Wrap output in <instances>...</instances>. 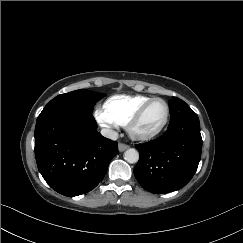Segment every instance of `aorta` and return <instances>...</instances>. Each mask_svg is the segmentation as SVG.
<instances>
[{"label":"aorta","mask_w":243,"mask_h":243,"mask_svg":"<svg viewBox=\"0 0 243 243\" xmlns=\"http://www.w3.org/2000/svg\"><path fill=\"white\" fill-rule=\"evenodd\" d=\"M124 159L128 163H136L139 160V153L136 149L130 148V149L125 151Z\"/></svg>","instance_id":"762f6f07"}]
</instances>
